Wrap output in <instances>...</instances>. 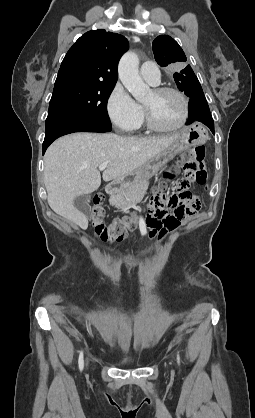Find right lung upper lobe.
Returning a JSON list of instances; mask_svg holds the SVG:
<instances>
[{
  "mask_svg": "<svg viewBox=\"0 0 255 418\" xmlns=\"http://www.w3.org/2000/svg\"><path fill=\"white\" fill-rule=\"evenodd\" d=\"M128 47L120 34L103 29L86 32L64 57L55 85L71 81L115 84L118 62Z\"/></svg>",
  "mask_w": 255,
  "mask_h": 418,
  "instance_id": "right-lung-upper-lobe-1",
  "label": "right lung upper lobe"
}]
</instances>
